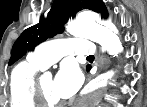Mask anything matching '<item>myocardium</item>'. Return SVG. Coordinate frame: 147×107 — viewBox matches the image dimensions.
Here are the masks:
<instances>
[{"label": "myocardium", "instance_id": "f54148a6", "mask_svg": "<svg viewBox=\"0 0 147 107\" xmlns=\"http://www.w3.org/2000/svg\"><path fill=\"white\" fill-rule=\"evenodd\" d=\"M42 79V78H41ZM41 79H36L33 85V101L37 107H60L64 104L63 101L52 102L48 100L43 92Z\"/></svg>", "mask_w": 147, "mask_h": 107}]
</instances>
